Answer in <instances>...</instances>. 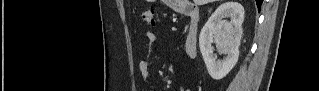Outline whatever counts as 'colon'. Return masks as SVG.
<instances>
[{"instance_id":"colon-1","label":"colon","mask_w":319,"mask_h":91,"mask_svg":"<svg viewBox=\"0 0 319 91\" xmlns=\"http://www.w3.org/2000/svg\"><path fill=\"white\" fill-rule=\"evenodd\" d=\"M155 9L153 6H149L148 8H146L142 14H141V19L142 21L149 25V26H155Z\"/></svg>"}]
</instances>
